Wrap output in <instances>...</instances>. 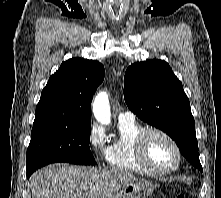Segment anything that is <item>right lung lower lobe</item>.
Listing matches in <instances>:
<instances>
[{"label": "right lung lower lobe", "mask_w": 221, "mask_h": 198, "mask_svg": "<svg viewBox=\"0 0 221 198\" xmlns=\"http://www.w3.org/2000/svg\"><path fill=\"white\" fill-rule=\"evenodd\" d=\"M30 175H31V174H27V178H29V177H30Z\"/></svg>", "instance_id": "1"}]
</instances>
